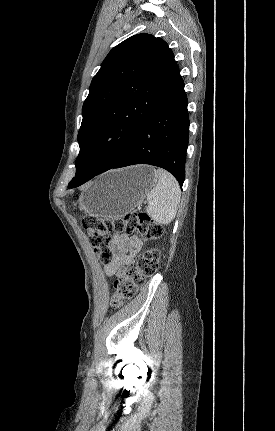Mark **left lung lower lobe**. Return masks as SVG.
<instances>
[{
  "instance_id": "obj_1",
  "label": "left lung lower lobe",
  "mask_w": 275,
  "mask_h": 431,
  "mask_svg": "<svg viewBox=\"0 0 275 431\" xmlns=\"http://www.w3.org/2000/svg\"><path fill=\"white\" fill-rule=\"evenodd\" d=\"M187 105L184 82L178 70L169 91L115 163L98 171L94 176L76 174L68 187H78L109 169L134 164H150L164 168L175 176L182 187L189 136Z\"/></svg>"
}]
</instances>
